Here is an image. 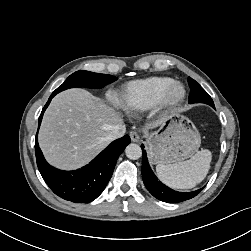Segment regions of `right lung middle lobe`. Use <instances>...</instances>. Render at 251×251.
I'll return each mask as SVG.
<instances>
[{
	"instance_id": "obj_1",
	"label": "right lung middle lobe",
	"mask_w": 251,
	"mask_h": 251,
	"mask_svg": "<svg viewBox=\"0 0 251 251\" xmlns=\"http://www.w3.org/2000/svg\"><path fill=\"white\" fill-rule=\"evenodd\" d=\"M117 77L108 74H98L89 71H77L71 74L66 81L55 91L57 93L74 87H87L92 89L102 88L105 85L114 82Z\"/></svg>"
}]
</instances>
